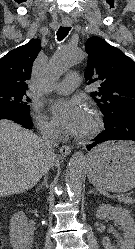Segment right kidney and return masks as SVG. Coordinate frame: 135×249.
<instances>
[{
	"instance_id": "ca27d5eb",
	"label": "right kidney",
	"mask_w": 135,
	"mask_h": 249,
	"mask_svg": "<svg viewBox=\"0 0 135 249\" xmlns=\"http://www.w3.org/2000/svg\"><path fill=\"white\" fill-rule=\"evenodd\" d=\"M33 234L26 215L23 212L14 214L10 221V243L13 249H30Z\"/></svg>"
}]
</instances>
